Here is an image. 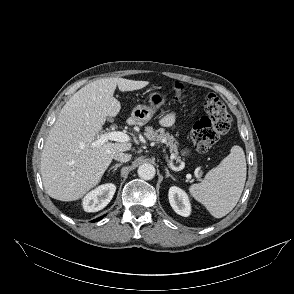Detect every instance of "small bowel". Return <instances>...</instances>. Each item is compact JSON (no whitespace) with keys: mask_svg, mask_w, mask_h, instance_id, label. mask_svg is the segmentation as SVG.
<instances>
[{"mask_svg":"<svg viewBox=\"0 0 294 294\" xmlns=\"http://www.w3.org/2000/svg\"><path fill=\"white\" fill-rule=\"evenodd\" d=\"M175 117L173 114H167L161 119V123L164 126H172L174 124Z\"/></svg>","mask_w":294,"mask_h":294,"instance_id":"obj_1","label":"small bowel"}]
</instances>
